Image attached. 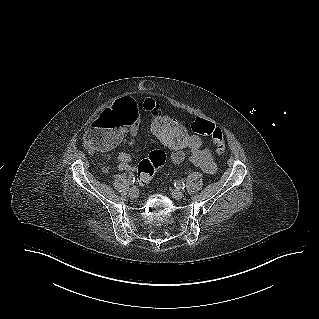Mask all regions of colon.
<instances>
[{"mask_svg":"<svg viewBox=\"0 0 319 319\" xmlns=\"http://www.w3.org/2000/svg\"><path fill=\"white\" fill-rule=\"evenodd\" d=\"M193 121V127L205 135H192L188 127L178 124L170 115L163 112L151 115L147 121V128L153 137L178 152H199L203 150L207 144L206 136H208L213 141L217 153L223 154L226 149L223 129L212 123L208 124V120L201 118ZM85 144L91 149L86 139ZM166 161L167 154L163 150L156 149L151 151L148 157L138 165L137 182L140 185L149 183L156 170L162 168Z\"/></svg>","mask_w":319,"mask_h":319,"instance_id":"colon-1","label":"colon"}]
</instances>
